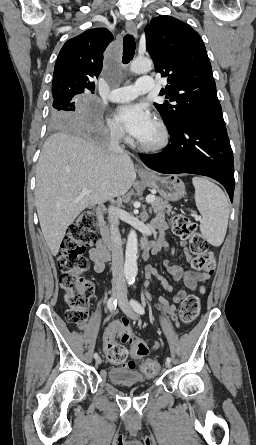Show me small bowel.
Returning <instances> with one entry per match:
<instances>
[{
    "mask_svg": "<svg viewBox=\"0 0 256 445\" xmlns=\"http://www.w3.org/2000/svg\"><path fill=\"white\" fill-rule=\"evenodd\" d=\"M153 226L158 230V238L154 243V254H158L163 251L173 254V246L171 245L167 237V225L165 223L163 215L159 214L154 218ZM181 246L184 249V255L186 259L190 261L191 258L189 252L186 249V242L182 241ZM89 257L94 264V271L98 274L104 272L106 263L110 261V254L101 241H97L95 246L90 249ZM164 268L166 272L172 276L173 280L176 283L185 286L190 291H194L199 284L204 283L209 278L208 273L187 270L181 265L173 264L169 259L165 260ZM153 278H156L160 281L164 290L168 292H171L173 290V286L159 274L158 269L153 265H148L146 267V284L148 285ZM187 294L188 292L185 289L179 290L173 297V303H170L164 297H159L156 303V307L166 312L171 317V319L176 320L177 305L187 296ZM176 325L178 326V323H176ZM118 328V322H112L108 325L103 335L104 347L115 342ZM152 347L158 348L159 343L155 341L152 344ZM122 367L133 369L135 365L132 362H129Z\"/></svg>",
    "mask_w": 256,
    "mask_h": 445,
    "instance_id": "1",
    "label": "small bowel"
}]
</instances>
